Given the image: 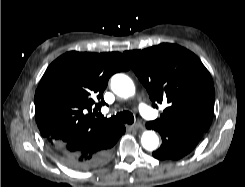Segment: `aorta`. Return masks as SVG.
<instances>
[{"label":"aorta","instance_id":"762f6f07","mask_svg":"<svg viewBox=\"0 0 245 187\" xmlns=\"http://www.w3.org/2000/svg\"><path fill=\"white\" fill-rule=\"evenodd\" d=\"M112 91L123 98L134 95L135 86L133 81L124 74H116L111 78ZM142 146L148 150H155L159 145V138L154 131H145L141 137Z\"/></svg>","mask_w":245,"mask_h":187}]
</instances>
